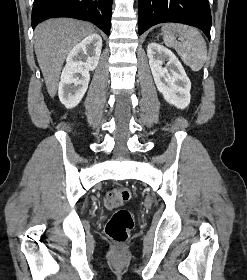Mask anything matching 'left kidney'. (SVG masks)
I'll list each match as a JSON object with an SVG mask.
<instances>
[{"label": "left kidney", "instance_id": "left-kidney-1", "mask_svg": "<svg viewBox=\"0 0 247 280\" xmlns=\"http://www.w3.org/2000/svg\"><path fill=\"white\" fill-rule=\"evenodd\" d=\"M147 56L155 84L164 99L185 109L191 99V82L180 61L172 51L157 43L148 45Z\"/></svg>", "mask_w": 247, "mask_h": 280}]
</instances>
